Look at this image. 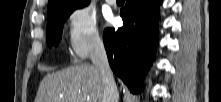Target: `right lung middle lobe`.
Instances as JSON below:
<instances>
[{"label":"right lung middle lobe","instance_id":"obj_1","mask_svg":"<svg viewBox=\"0 0 221 102\" xmlns=\"http://www.w3.org/2000/svg\"><path fill=\"white\" fill-rule=\"evenodd\" d=\"M87 4H84L79 7H73V8H68L64 9L62 11H59L56 13L53 17L48 19L47 23V43L49 47L57 46L59 41L61 40L62 37V30H63V25L67 18L71 15V13L77 9V8H82Z\"/></svg>","mask_w":221,"mask_h":102}]
</instances>
